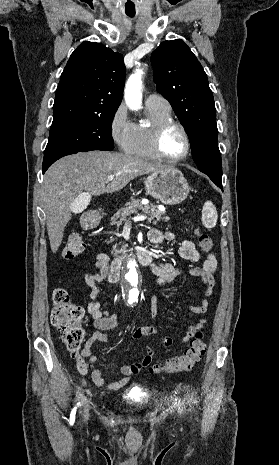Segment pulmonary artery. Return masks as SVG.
<instances>
[{"label": "pulmonary artery", "instance_id": "e3ab8cb5", "mask_svg": "<svg viewBox=\"0 0 279 465\" xmlns=\"http://www.w3.org/2000/svg\"><path fill=\"white\" fill-rule=\"evenodd\" d=\"M145 104L146 106L157 107L166 110H169L171 108L169 102L164 97L158 94H150L149 96H147Z\"/></svg>", "mask_w": 279, "mask_h": 465}]
</instances>
